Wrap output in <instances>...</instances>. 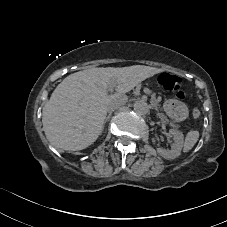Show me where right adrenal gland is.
<instances>
[{
  "label": "right adrenal gland",
  "mask_w": 227,
  "mask_h": 227,
  "mask_svg": "<svg viewBox=\"0 0 227 227\" xmlns=\"http://www.w3.org/2000/svg\"><path fill=\"white\" fill-rule=\"evenodd\" d=\"M110 116H111V114H109L106 118H105V120H104V124L109 120V118H110ZM100 134H102V131H101V133Z\"/></svg>",
  "instance_id": "2a0ac1e0"
}]
</instances>
